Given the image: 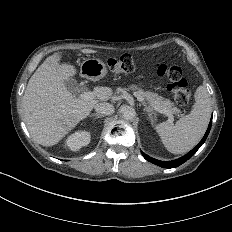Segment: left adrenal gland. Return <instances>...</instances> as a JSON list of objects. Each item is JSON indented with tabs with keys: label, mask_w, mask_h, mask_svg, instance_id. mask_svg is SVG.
<instances>
[{
	"label": "left adrenal gland",
	"mask_w": 232,
	"mask_h": 232,
	"mask_svg": "<svg viewBox=\"0 0 232 232\" xmlns=\"http://www.w3.org/2000/svg\"><path fill=\"white\" fill-rule=\"evenodd\" d=\"M146 117L150 121V123L153 124V120L155 119L154 112H151L146 109Z\"/></svg>",
	"instance_id": "left-adrenal-gland-1"
}]
</instances>
